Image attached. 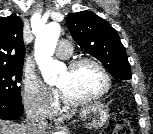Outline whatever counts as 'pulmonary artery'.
Here are the masks:
<instances>
[{"instance_id":"1","label":"pulmonary artery","mask_w":153,"mask_h":134,"mask_svg":"<svg viewBox=\"0 0 153 134\" xmlns=\"http://www.w3.org/2000/svg\"><path fill=\"white\" fill-rule=\"evenodd\" d=\"M56 54L61 58H69L72 54V45L69 41L62 40L58 43Z\"/></svg>"}]
</instances>
